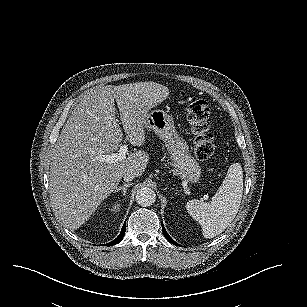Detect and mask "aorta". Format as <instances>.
Segmentation results:
<instances>
[{
    "instance_id": "obj_1",
    "label": "aorta",
    "mask_w": 307,
    "mask_h": 307,
    "mask_svg": "<svg viewBox=\"0 0 307 307\" xmlns=\"http://www.w3.org/2000/svg\"><path fill=\"white\" fill-rule=\"evenodd\" d=\"M136 202L142 207L151 206L156 201V194L149 187L140 188L135 196Z\"/></svg>"
}]
</instances>
